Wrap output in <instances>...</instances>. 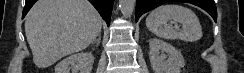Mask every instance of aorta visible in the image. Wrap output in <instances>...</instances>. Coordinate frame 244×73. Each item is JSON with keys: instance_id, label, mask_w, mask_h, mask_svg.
<instances>
[{"instance_id": "obj_1", "label": "aorta", "mask_w": 244, "mask_h": 73, "mask_svg": "<svg viewBox=\"0 0 244 73\" xmlns=\"http://www.w3.org/2000/svg\"><path fill=\"white\" fill-rule=\"evenodd\" d=\"M135 8V0H119V9L125 18H129Z\"/></svg>"}]
</instances>
